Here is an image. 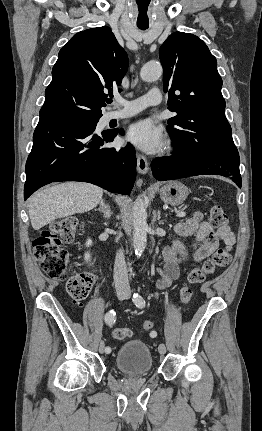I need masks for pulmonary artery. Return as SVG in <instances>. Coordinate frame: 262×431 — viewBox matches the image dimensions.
<instances>
[{"instance_id": "pulmonary-artery-1", "label": "pulmonary artery", "mask_w": 262, "mask_h": 431, "mask_svg": "<svg viewBox=\"0 0 262 431\" xmlns=\"http://www.w3.org/2000/svg\"><path fill=\"white\" fill-rule=\"evenodd\" d=\"M162 101V94L157 87H153L143 96H140L133 100L118 99V102L123 104L125 107L121 110L112 111L108 119L119 120L130 117L146 109L149 106L158 105Z\"/></svg>"}]
</instances>
